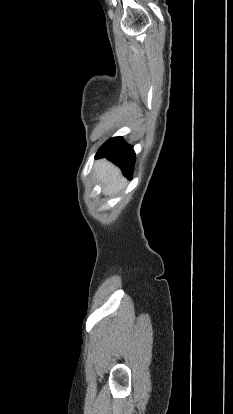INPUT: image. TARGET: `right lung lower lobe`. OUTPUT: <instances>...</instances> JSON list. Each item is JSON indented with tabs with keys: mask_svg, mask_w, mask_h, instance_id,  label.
<instances>
[{
	"mask_svg": "<svg viewBox=\"0 0 233 414\" xmlns=\"http://www.w3.org/2000/svg\"><path fill=\"white\" fill-rule=\"evenodd\" d=\"M96 158L105 157L122 169L123 174L131 179L135 163L133 147L126 144L122 137H114L105 142L98 150Z\"/></svg>",
	"mask_w": 233,
	"mask_h": 414,
	"instance_id": "obj_1",
	"label": "right lung lower lobe"
}]
</instances>
